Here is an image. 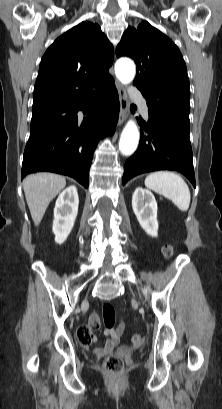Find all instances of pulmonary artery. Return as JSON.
<instances>
[{"instance_id":"pulmonary-artery-1","label":"pulmonary artery","mask_w":222,"mask_h":409,"mask_svg":"<svg viewBox=\"0 0 222 409\" xmlns=\"http://www.w3.org/2000/svg\"><path fill=\"white\" fill-rule=\"evenodd\" d=\"M129 93L136 98L143 115L145 117H148L147 103L144 97L142 96V94L137 89H134V88L129 89Z\"/></svg>"}]
</instances>
